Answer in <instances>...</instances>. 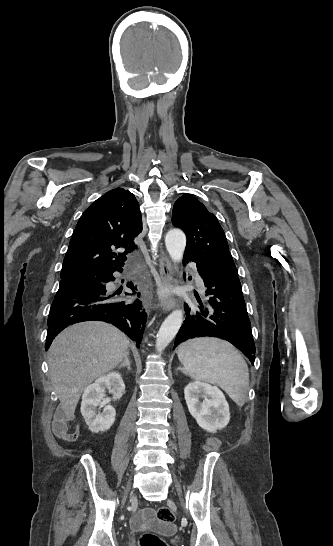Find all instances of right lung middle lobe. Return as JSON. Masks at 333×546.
Returning a JSON list of instances; mask_svg holds the SVG:
<instances>
[{
	"label": "right lung middle lobe",
	"instance_id": "right-lung-middle-lobe-1",
	"mask_svg": "<svg viewBox=\"0 0 333 546\" xmlns=\"http://www.w3.org/2000/svg\"><path fill=\"white\" fill-rule=\"evenodd\" d=\"M91 278H92V277L81 278V279H74V280H62V281L60 282V287H59V288L71 286V285H74V284H77V283H81V282L87 281V280H89V279H91ZM98 278H100V276H98Z\"/></svg>",
	"mask_w": 333,
	"mask_h": 546
}]
</instances>
